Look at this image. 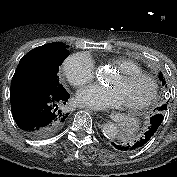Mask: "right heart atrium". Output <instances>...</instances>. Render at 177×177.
Wrapping results in <instances>:
<instances>
[{
	"instance_id": "right-heart-atrium-1",
	"label": "right heart atrium",
	"mask_w": 177,
	"mask_h": 177,
	"mask_svg": "<svg viewBox=\"0 0 177 177\" xmlns=\"http://www.w3.org/2000/svg\"><path fill=\"white\" fill-rule=\"evenodd\" d=\"M67 80L75 87L91 82L95 76L94 63L86 53H75L68 56L62 65Z\"/></svg>"
}]
</instances>
